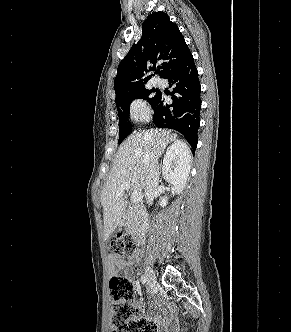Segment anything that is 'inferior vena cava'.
<instances>
[{
	"label": "inferior vena cava",
	"instance_id": "inferior-vena-cava-1",
	"mask_svg": "<svg viewBox=\"0 0 291 332\" xmlns=\"http://www.w3.org/2000/svg\"><path fill=\"white\" fill-rule=\"evenodd\" d=\"M145 183V198L147 203L151 205L154 197L157 194L159 184L158 160H156L154 157L151 158V163L147 171Z\"/></svg>",
	"mask_w": 291,
	"mask_h": 332
}]
</instances>
